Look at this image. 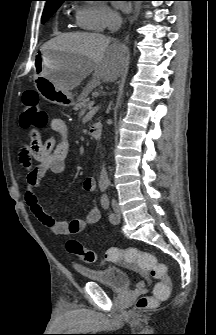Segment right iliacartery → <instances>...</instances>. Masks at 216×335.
I'll return each mask as SVG.
<instances>
[{
	"instance_id": "82829eb1",
	"label": "right iliac artery",
	"mask_w": 216,
	"mask_h": 335,
	"mask_svg": "<svg viewBox=\"0 0 216 335\" xmlns=\"http://www.w3.org/2000/svg\"><path fill=\"white\" fill-rule=\"evenodd\" d=\"M106 187H107V186H106L105 184L100 185V189H101V191H105Z\"/></svg>"
}]
</instances>
